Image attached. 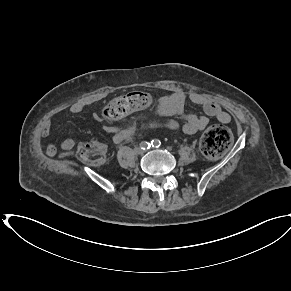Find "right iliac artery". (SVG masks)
Here are the masks:
<instances>
[{
  "mask_svg": "<svg viewBox=\"0 0 291 291\" xmlns=\"http://www.w3.org/2000/svg\"><path fill=\"white\" fill-rule=\"evenodd\" d=\"M150 146H151V144H150L149 142H147V141H142V142L140 143V147H141V149H143V150L149 149Z\"/></svg>",
  "mask_w": 291,
  "mask_h": 291,
  "instance_id": "obj_1",
  "label": "right iliac artery"
}]
</instances>
